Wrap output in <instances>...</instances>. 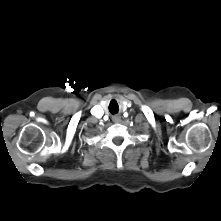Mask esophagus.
Listing matches in <instances>:
<instances>
[{
    "mask_svg": "<svg viewBox=\"0 0 221 221\" xmlns=\"http://www.w3.org/2000/svg\"><path fill=\"white\" fill-rule=\"evenodd\" d=\"M112 120H113L114 122H120V121H121V116L115 115V116H113Z\"/></svg>",
    "mask_w": 221,
    "mask_h": 221,
    "instance_id": "34e87169",
    "label": "esophagus"
}]
</instances>
